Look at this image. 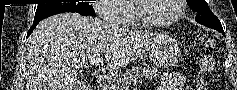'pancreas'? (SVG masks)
<instances>
[{
  "mask_svg": "<svg viewBox=\"0 0 237 90\" xmlns=\"http://www.w3.org/2000/svg\"><path fill=\"white\" fill-rule=\"evenodd\" d=\"M160 72H154L151 68H132L127 70L122 78V86H126L127 82H143V80H154Z\"/></svg>",
  "mask_w": 237,
  "mask_h": 90,
  "instance_id": "obj_1",
  "label": "pancreas"
}]
</instances>
